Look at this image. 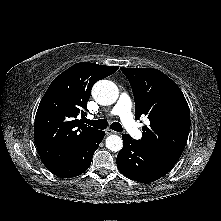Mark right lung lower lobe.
Wrapping results in <instances>:
<instances>
[{
	"mask_svg": "<svg viewBox=\"0 0 221 221\" xmlns=\"http://www.w3.org/2000/svg\"><path fill=\"white\" fill-rule=\"evenodd\" d=\"M105 135L99 130L80 150L64 163L50 168L49 171L60 178L75 177L89 168L93 154Z\"/></svg>",
	"mask_w": 221,
	"mask_h": 221,
	"instance_id": "98d812e1",
	"label": "right lung lower lobe"
}]
</instances>
